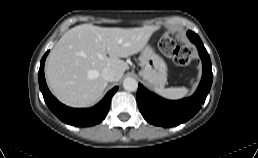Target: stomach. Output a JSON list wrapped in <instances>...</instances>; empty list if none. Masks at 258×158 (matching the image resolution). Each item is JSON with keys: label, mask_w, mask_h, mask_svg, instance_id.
Here are the masks:
<instances>
[{"label": "stomach", "mask_w": 258, "mask_h": 158, "mask_svg": "<svg viewBox=\"0 0 258 158\" xmlns=\"http://www.w3.org/2000/svg\"><path fill=\"white\" fill-rule=\"evenodd\" d=\"M141 70L139 75L149 84L162 87L167 81V66L149 45L141 51L140 57Z\"/></svg>", "instance_id": "1"}]
</instances>
